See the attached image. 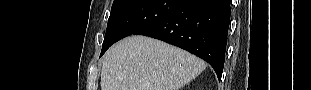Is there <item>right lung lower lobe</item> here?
<instances>
[{
	"instance_id": "obj_1",
	"label": "right lung lower lobe",
	"mask_w": 311,
	"mask_h": 90,
	"mask_svg": "<svg viewBox=\"0 0 311 90\" xmlns=\"http://www.w3.org/2000/svg\"><path fill=\"white\" fill-rule=\"evenodd\" d=\"M230 0H184L163 19L136 34L160 39L207 61L221 79Z\"/></svg>"
}]
</instances>
